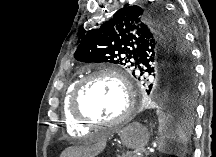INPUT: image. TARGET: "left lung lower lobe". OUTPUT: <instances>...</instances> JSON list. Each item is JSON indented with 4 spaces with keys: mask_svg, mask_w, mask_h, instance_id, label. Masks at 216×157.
Returning a JSON list of instances; mask_svg holds the SVG:
<instances>
[{
    "mask_svg": "<svg viewBox=\"0 0 216 157\" xmlns=\"http://www.w3.org/2000/svg\"><path fill=\"white\" fill-rule=\"evenodd\" d=\"M188 90H189V89H188ZM188 90H187V91H188ZM194 95L196 96V87H195V89H194ZM172 96H174V97H176L177 99H180V100L182 101V99H181L179 96H177V95H172ZM182 102H183V101H182ZM186 106H187V105H186ZM188 108H190V107L188 106L187 109H188ZM180 122L182 123V125H183L185 131L188 132V131H189V127H190V123H191V115L188 114V112H186L185 115H182V116H181Z\"/></svg>",
    "mask_w": 216,
    "mask_h": 157,
    "instance_id": "1",
    "label": "left lung lower lobe"
}]
</instances>
